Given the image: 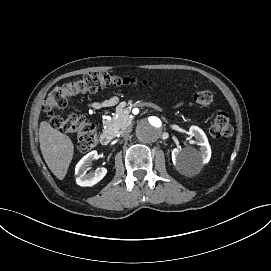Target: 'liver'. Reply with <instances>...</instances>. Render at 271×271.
I'll return each mask as SVG.
<instances>
[{
	"label": "liver",
	"mask_w": 271,
	"mask_h": 271,
	"mask_svg": "<svg viewBox=\"0 0 271 271\" xmlns=\"http://www.w3.org/2000/svg\"><path fill=\"white\" fill-rule=\"evenodd\" d=\"M39 142L47 166L59 180H63L74 153L71 139L43 121L39 128Z\"/></svg>",
	"instance_id": "1"
}]
</instances>
